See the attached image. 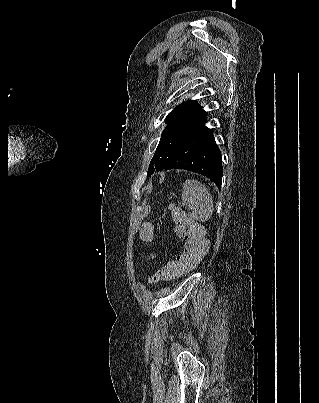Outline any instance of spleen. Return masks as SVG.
Segmentation results:
<instances>
[{
    "label": "spleen",
    "mask_w": 319,
    "mask_h": 403,
    "mask_svg": "<svg viewBox=\"0 0 319 403\" xmlns=\"http://www.w3.org/2000/svg\"><path fill=\"white\" fill-rule=\"evenodd\" d=\"M182 188V202L191 210L190 218L199 222L208 221L214 211L209 190L202 182L194 179H187Z\"/></svg>",
    "instance_id": "spleen-1"
}]
</instances>
